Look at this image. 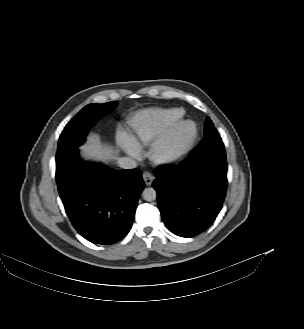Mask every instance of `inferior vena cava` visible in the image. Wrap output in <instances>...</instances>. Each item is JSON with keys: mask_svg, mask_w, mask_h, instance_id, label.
Returning a JSON list of instances; mask_svg holds the SVG:
<instances>
[{"mask_svg": "<svg viewBox=\"0 0 304 329\" xmlns=\"http://www.w3.org/2000/svg\"><path fill=\"white\" fill-rule=\"evenodd\" d=\"M118 166L123 169H132L137 167V163L130 157H122L118 159Z\"/></svg>", "mask_w": 304, "mask_h": 329, "instance_id": "1", "label": "inferior vena cava"}]
</instances>
